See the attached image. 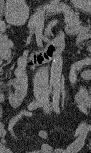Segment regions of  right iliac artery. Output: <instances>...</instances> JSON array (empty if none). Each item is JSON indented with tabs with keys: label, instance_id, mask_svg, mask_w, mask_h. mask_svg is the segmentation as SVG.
I'll return each mask as SVG.
<instances>
[{
	"label": "right iliac artery",
	"instance_id": "obj_1",
	"mask_svg": "<svg viewBox=\"0 0 91 153\" xmlns=\"http://www.w3.org/2000/svg\"><path fill=\"white\" fill-rule=\"evenodd\" d=\"M50 91V90H49ZM48 91V92H49ZM41 105H43V102L41 103H38V102H31L29 105H28V110L31 111V110H35L37 109L38 107H40Z\"/></svg>",
	"mask_w": 91,
	"mask_h": 153
}]
</instances>
